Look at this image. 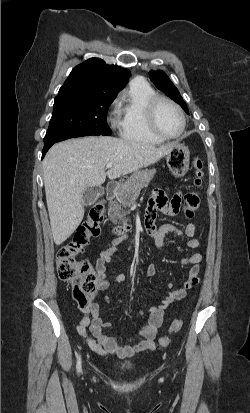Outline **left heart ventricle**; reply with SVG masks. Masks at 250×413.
<instances>
[{"label":"left heart ventricle","mask_w":250,"mask_h":413,"mask_svg":"<svg viewBox=\"0 0 250 413\" xmlns=\"http://www.w3.org/2000/svg\"><path fill=\"white\" fill-rule=\"evenodd\" d=\"M158 129L166 135H176L180 132L182 121L179 113L168 103H161L156 113Z\"/></svg>","instance_id":"b2bd125f"}]
</instances>
